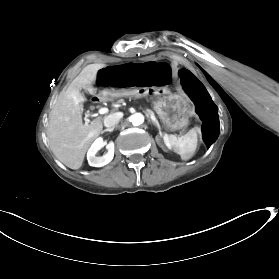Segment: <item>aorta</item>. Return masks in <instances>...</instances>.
Instances as JSON below:
<instances>
[{"label":"aorta","instance_id":"aorta-1","mask_svg":"<svg viewBox=\"0 0 279 279\" xmlns=\"http://www.w3.org/2000/svg\"><path fill=\"white\" fill-rule=\"evenodd\" d=\"M130 122L134 126H138L144 122V116L141 113H135L130 117Z\"/></svg>","mask_w":279,"mask_h":279}]
</instances>
